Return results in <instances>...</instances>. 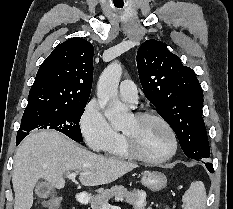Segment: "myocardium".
I'll use <instances>...</instances> for the list:
<instances>
[{
  "instance_id": "myocardium-1",
  "label": "myocardium",
  "mask_w": 233,
  "mask_h": 209,
  "mask_svg": "<svg viewBox=\"0 0 233 209\" xmlns=\"http://www.w3.org/2000/svg\"><path fill=\"white\" fill-rule=\"evenodd\" d=\"M134 117L138 121H142L145 119H155L158 122H160L165 127V129L167 130V132L170 136L171 148H170L169 152L162 157H158V158L147 157L139 151L132 136L129 135L128 133L123 132L125 147L129 153V155L132 158H134L138 161L147 163V164H162V163L169 161L176 154L177 149H178L177 135H176L173 127L171 126V124L160 114H158L154 111H149V110L137 112L134 115Z\"/></svg>"
}]
</instances>
